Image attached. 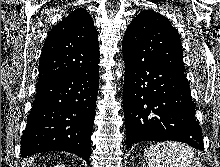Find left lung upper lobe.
Returning a JSON list of instances; mask_svg holds the SVG:
<instances>
[{"label":"left lung upper lobe","mask_w":220,"mask_h":167,"mask_svg":"<svg viewBox=\"0 0 220 167\" xmlns=\"http://www.w3.org/2000/svg\"><path fill=\"white\" fill-rule=\"evenodd\" d=\"M123 55L184 72L180 35L167 18L151 10L138 14L126 30Z\"/></svg>","instance_id":"left-lung-upper-lobe-1"}]
</instances>
